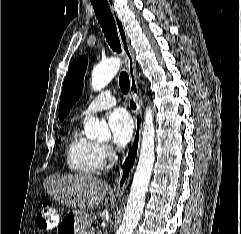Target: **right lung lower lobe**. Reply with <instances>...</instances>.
<instances>
[{"label":"right lung lower lobe","instance_id":"1","mask_svg":"<svg viewBox=\"0 0 241 234\" xmlns=\"http://www.w3.org/2000/svg\"><path fill=\"white\" fill-rule=\"evenodd\" d=\"M131 107L135 108V104L133 102H131Z\"/></svg>","mask_w":241,"mask_h":234}]
</instances>
